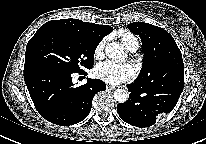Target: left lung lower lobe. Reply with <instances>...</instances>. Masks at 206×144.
<instances>
[{
    "label": "left lung lower lobe",
    "mask_w": 206,
    "mask_h": 144,
    "mask_svg": "<svg viewBox=\"0 0 206 144\" xmlns=\"http://www.w3.org/2000/svg\"><path fill=\"white\" fill-rule=\"evenodd\" d=\"M183 83L184 76L149 87L133 82L127 85L129 99L117 105V112L132 126H152L159 115L173 110L183 91Z\"/></svg>",
    "instance_id": "1"
}]
</instances>
